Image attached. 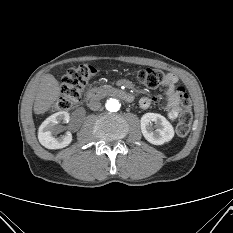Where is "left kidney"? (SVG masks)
I'll use <instances>...</instances> for the list:
<instances>
[{"label": "left kidney", "mask_w": 233, "mask_h": 233, "mask_svg": "<svg viewBox=\"0 0 233 233\" xmlns=\"http://www.w3.org/2000/svg\"><path fill=\"white\" fill-rule=\"evenodd\" d=\"M140 123L143 136L151 144L162 145L174 137L173 126L161 114L146 113L141 117Z\"/></svg>", "instance_id": "1"}]
</instances>
